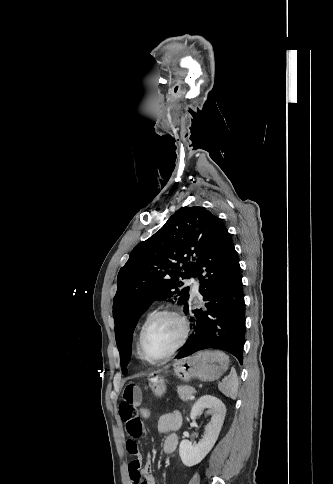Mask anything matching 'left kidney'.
I'll list each match as a JSON object with an SVG mask.
<instances>
[{"instance_id": "1", "label": "left kidney", "mask_w": 333, "mask_h": 484, "mask_svg": "<svg viewBox=\"0 0 333 484\" xmlns=\"http://www.w3.org/2000/svg\"><path fill=\"white\" fill-rule=\"evenodd\" d=\"M204 410L211 415V420L205 428L202 439L196 445H192L188 440H182L179 446V455L187 467L198 464L211 451L224 422L226 407L220 399L211 395L200 397L191 409V419H195Z\"/></svg>"}]
</instances>
